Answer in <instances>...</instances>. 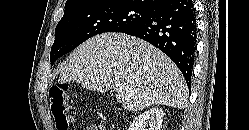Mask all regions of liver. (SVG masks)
Wrapping results in <instances>:
<instances>
[{"mask_svg":"<svg viewBox=\"0 0 249 130\" xmlns=\"http://www.w3.org/2000/svg\"><path fill=\"white\" fill-rule=\"evenodd\" d=\"M59 81H76L97 92L116 89L117 101L129 111L159 104L184 109L189 96L183 75L168 56L122 33H104L82 43L64 62Z\"/></svg>","mask_w":249,"mask_h":130,"instance_id":"1","label":"liver"}]
</instances>
